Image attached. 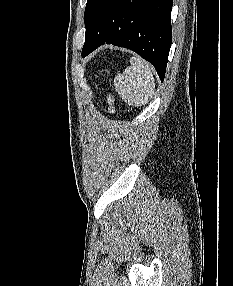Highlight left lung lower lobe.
<instances>
[{
  "instance_id": "left-lung-lower-lobe-1",
  "label": "left lung lower lobe",
  "mask_w": 233,
  "mask_h": 286,
  "mask_svg": "<svg viewBox=\"0 0 233 286\" xmlns=\"http://www.w3.org/2000/svg\"><path fill=\"white\" fill-rule=\"evenodd\" d=\"M172 0H95L85 22L82 57L101 45L135 51L164 80L172 42Z\"/></svg>"
}]
</instances>
